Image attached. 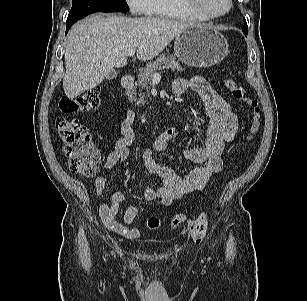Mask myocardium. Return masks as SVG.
Masks as SVG:
<instances>
[{"instance_id": "1", "label": "myocardium", "mask_w": 307, "mask_h": 301, "mask_svg": "<svg viewBox=\"0 0 307 301\" xmlns=\"http://www.w3.org/2000/svg\"><path fill=\"white\" fill-rule=\"evenodd\" d=\"M181 1L183 2L184 6L192 13L209 19L220 18L229 13L233 7L232 0H227L228 6L223 11L213 10L204 5L201 0H181Z\"/></svg>"}]
</instances>
